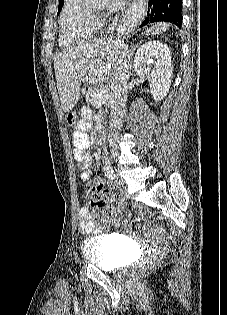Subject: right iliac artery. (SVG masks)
<instances>
[{"label":"right iliac artery","mask_w":227,"mask_h":315,"mask_svg":"<svg viewBox=\"0 0 227 315\" xmlns=\"http://www.w3.org/2000/svg\"><path fill=\"white\" fill-rule=\"evenodd\" d=\"M105 176H107L110 180H114L116 178V174L112 169L106 170Z\"/></svg>","instance_id":"82829eb1"}]
</instances>
